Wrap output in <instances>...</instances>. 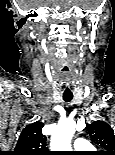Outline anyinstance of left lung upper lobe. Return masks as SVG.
<instances>
[{
  "instance_id": "5c2ea615",
  "label": "left lung upper lobe",
  "mask_w": 115,
  "mask_h": 155,
  "mask_svg": "<svg viewBox=\"0 0 115 155\" xmlns=\"http://www.w3.org/2000/svg\"><path fill=\"white\" fill-rule=\"evenodd\" d=\"M87 128L91 141L103 149L98 155H115V136L110 125L104 121H94Z\"/></svg>"
}]
</instances>
